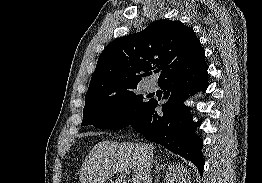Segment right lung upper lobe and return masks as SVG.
Segmentation results:
<instances>
[{
	"instance_id": "1",
	"label": "right lung upper lobe",
	"mask_w": 262,
	"mask_h": 183,
	"mask_svg": "<svg viewBox=\"0 0 262 183\" xmlns=\"http://www.w3.org/2000/svg\"><path fill=\"white\" fill-rule=\"evenodd\" d=\"M205 63V51L192 28L180 21L158 20L139 33L112 41L101 53L85 103L136 89L146 72L166 78Z\"/></svg>"
}]
</instances>
